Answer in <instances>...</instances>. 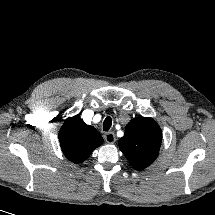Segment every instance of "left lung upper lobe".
<instances>
[{"label":"left lung upper lobe","instance_id":"obj_1","mask_svg":"<svg viewBox=\"0 0 215 215\" xmlns=\"http://www.w3.org/2000/svg\"><path fill=\"white\" fill-rule=\"evenodd\" d=\"M162 132L152 118H134L126 126L124 136L119 140L120 150L136 170L151 165L159 154Z\"/></svg>","mask_w":215,"mask_h":215}]
</instances>
